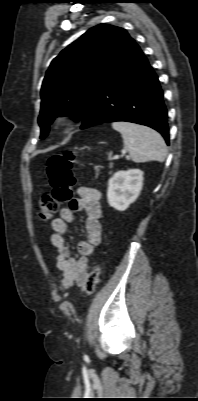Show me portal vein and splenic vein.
Masks as SVG:
<instances>
[{
	"label": "portal vein and splenic vein",
	"instance_id": "1",
	"mask_svg": "<svg viewBox=\"0 0 198 401\" xmlns=\"http://www.w3.org/2000/svg\"><path fill=\"white\" fill-rule=\"evenodd\" d=\"M112 159H119V156L115 155Z\"/></svg>",
	"mask_w": 198,
	"mask_h": 401
}]
</instances>
